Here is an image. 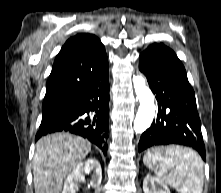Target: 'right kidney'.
I'll use <instances>...</instances> for the list:
<instances>
[{
  "label": "right kidney",
  "mask_w": 221,
  "mask_h": 193,
  "mask_svg": "<svg viewBox=\"0 0 221 193\" xmlns=\"http://www.w3.org/2000/svg\"><path fill=\"white\" fill-rule=\"evenodd\" d=\"M94 172L91 185L98 187L102 181V169L100 163L95 159H88L85 162L79 163L67 177L64 183V189L62 193H76L78 191L77 182H84V173L89 174Z\"/></svg>",
  "instance_id": "right-kidney-1"
}]
</instances>
